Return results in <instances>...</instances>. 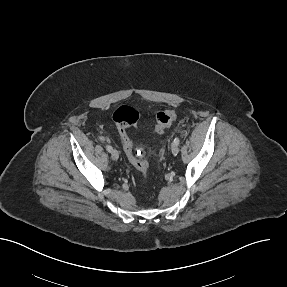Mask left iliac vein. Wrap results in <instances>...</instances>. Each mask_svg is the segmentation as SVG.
<instances>
[{
	"mask_svg": "<svg viewBox=\"0 0 287 287\" xmlns=\"http://www.w3.org/2000/svg\"><path fill=\"white\" fill-rule=\"evenodd\" d=\"M171 152L173 155H177L179 153L178 145L174 142L171 144Z\"/></svg>",
	"mask_w": 287,
	"mask_h": 287,
	"instance_id": "1",
	"label": "left iliac vein"
}]
</instances>
